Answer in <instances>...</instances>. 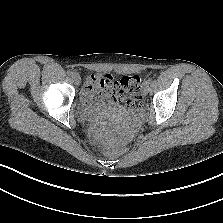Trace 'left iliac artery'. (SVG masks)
<instances>
[{"label":"left iliac artery","instance_id":"obj_1","mask_svg":"<svg viewBox=\"0 0 223 223\" xmlns=\"http://www.w3.org/2000/svg\"><path fill=\"white\" fill-rule=\"evenodd\" d=\"M145 82L150 84L152 82V78H148Z\"/></svg>","mask_w":223,"mask_h":223}]
</instances>
